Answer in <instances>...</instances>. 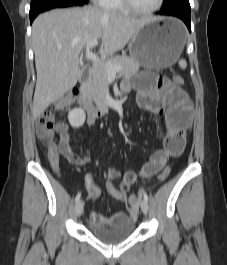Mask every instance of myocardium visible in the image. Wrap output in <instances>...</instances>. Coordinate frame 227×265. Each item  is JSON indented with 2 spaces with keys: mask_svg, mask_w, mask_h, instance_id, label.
<instances>
[{
  "mask_svg": "<svg viewBox=\"0 0 227 265\" xmlns=\"http://www.w3.org/2000/svg\"><path fill=\"white\" fill-rule=\"evenodd\" d=\"M121 2L123 4L124 8L128 12L133 13V14H138V15H149V14L155 13L158 10H160L164 4V0H158V3L154 7L150 8V9H146V10H141V9L136 8L133 5L131 0H121Z\"/></svg>",
  "mask_w": 227,
  "mask_h": 265,
  "instance_id": "obj_1",
  "label": "myocardium"
}]
</instances>
